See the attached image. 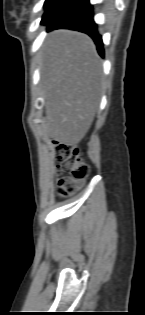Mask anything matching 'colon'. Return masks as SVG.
Wrapping results in <instances>:
<instances>
[{
    "mask_svg": "<svg viewBox=\"0 0 145 315\" xmlns=\"http://www.w3.org/2000/svg\"><path fill=\"white\" fill-rule=\"evenodd\" d=\"M55 145L58 173L68 174L57 179V195L60 198H66L88 177L90 167L83 161L75 145L61 141H56Z\"/></svg>",
    "mask_w": 145,
    "mask_h": 315,
    "instance_id": "1",
    "label": "colon"
}]
</instances>
